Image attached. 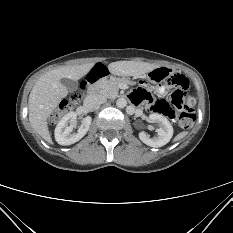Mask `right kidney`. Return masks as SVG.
Instances as JSON below:
<instances>
[{"instance_id": "right-kidney-1", "label": "right kidney", "mask_w": 233, "mask_h": 233, "mask_svg": "<svg viewBox=\"0 0 233 233\" xmlns=\"http://www.w3.org/2000/svg\"><path fill=\"white\" fill-rule=\"evenodd\" d=\"M77 114L69 112L57 124L55 128V139L60 145H71L83 138L89 130L92 118L86 116L82 118V123L76 133H71L76 124Z\"/></svg>"}]
</instances>
